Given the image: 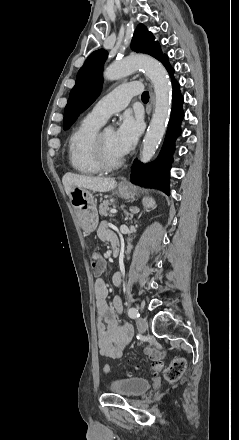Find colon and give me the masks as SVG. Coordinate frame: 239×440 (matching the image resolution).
I'll use <instances>...</instances> for the list:
<instances>
[{
  "label": "colon",
  "instance_id": "1",
  "mask_svg": "<svg viewBox=\"0 0 239 440\" xmlns=\"http://www.w3.org/2000/svg\"><path fill=\"white\" fill-rule=\"evenodd\" d=\"M91 266L93 272L95 274H100L103 271V261L101 254L99 252H92L90 256ZM149 354L152 357V362L150 368L153 372H157L160 369L159 359L162 354L157 350H150ZM185 369V360L182 358H175L169 365V367L165 370V377L170 381L176 380ZM105 371H108V367L105 368Z\"/></svg>",
  "mask_w": 239,
  "mask_h": 440
}]
</instances>
